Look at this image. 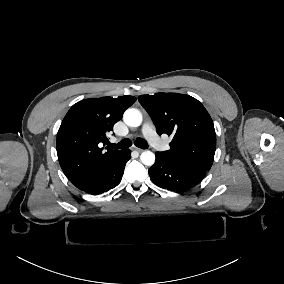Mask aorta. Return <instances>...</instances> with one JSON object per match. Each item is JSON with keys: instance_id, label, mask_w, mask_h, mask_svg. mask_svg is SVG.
Returning a JSON list of instances; mask_svg holds the SVG:
<instances>
[{"instance_id": "762f6f07", "label": "aorta", "mask_w": 284, "mask_h": 284, "mask_svg": "<svg viewBox=\"0 0 284 284\" xmlns=\"http://www.w3.org/2000/svg\"><path fill=\"white\" fill-rule=\"evenodd\" d=\"M142 114L136 108L127 109L123 115V120L130 127H138L142 123ZM141 162L146 166H152L155 163V154L149 150L142 152Z\"/></svg>"}]
</instances>
